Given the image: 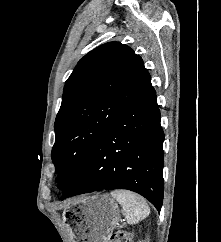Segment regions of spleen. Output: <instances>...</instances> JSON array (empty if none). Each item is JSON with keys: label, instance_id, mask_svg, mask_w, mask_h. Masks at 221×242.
<instances>
[{"label": "spleen", "instance_id": "spleen-1", "mask_svg": "<svg viewBox=\"0 0 221 242\" xmlns=\"http://www.w3.org/2000/svg\"><path fill=\"white\" fill-rule=\"evenodd\" d=\"M111 195L122 207L127 223L134 225L150 214V208L143 197L127 190H115Z\"/></svg>", "mask_w": 221, "mask_h": 242}]
</instances>
